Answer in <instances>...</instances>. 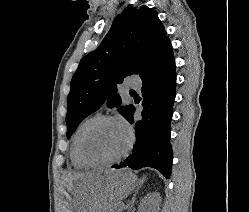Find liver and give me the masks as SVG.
<instances>
[{
  "label": "liver",
  "instance_id": "obj_1",
  "mask_svg": "<svg viewBox=\"0 0 249 212\" xmlns=\"http://www.w3.org/2000/svg\"><path fill=\"white\" fill-rule=\"evenodd\" d=\"M68 188L71 190L76 182H87L96 202L92 204V210L101 212L104 204H119L121 200L128 198L129 194L137 186V176L130 170H106V172H76L68 174Z\"/></svg>",
  "mask_w": 249,
  "mask_h": 212
}]
</instances>
